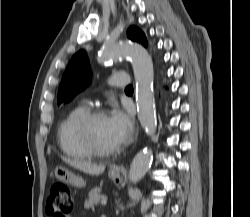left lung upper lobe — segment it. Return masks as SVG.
I'll return each instance as SVG.
<instances>
[{
    "instance_id": "left-lung-upper-lobe-1",
    "label": "left lung upper lobe",
    "mask_w": 250,
    "mask_h": 217,
    "mask_svg": "<svg viewBox=\"0 0 250 217\" xmlns=\"http://www.w3.org/2000/svg\"><path fill=\"white\" fill-rule=\"evenodd\" d=\"M128 38L147 47L144 33L137 27L128 29ZM91 74L86 53L81 50L70 60L58 90V104L69 102L90 84Z\"/></svg>"
}]
</instances>
